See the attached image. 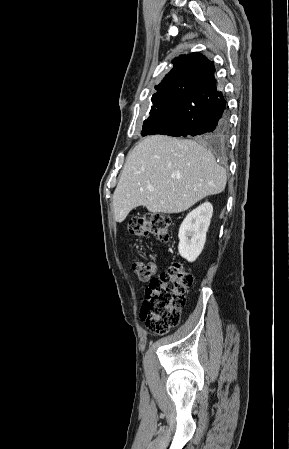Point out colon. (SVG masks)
I'll return each instance as SVG.
<instances>
[{
  "label": "colon",
  "instance_id": "1",
  "mask_svg": "<svg viewBox=\"0 0 289 449\" xmlns=\"http://www.w3.org/2000/svg\"><path fill=\"white\" fill-rule=\"evenodd\" d=\"M172 226L170 217L153 212L133 217L128 222L130 234L138 237L154 234L161 241L169 240ZM133 270L140 280L149 282L141 317L150 331L164 335L180 323L186 291L194 282L193 275L181 263L175 262L159 277H155L156 264L153 258L134 261Z\"/></svg>",
  "mask_w": 289,
  "mask_h": 449
}]
</instances>
